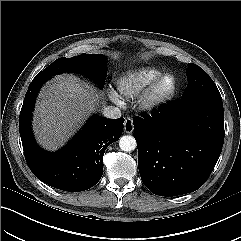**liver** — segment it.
Wrapping results in <instances>:
<instances>
[{"label": "liver", "mask_w": 241, "mask_h": 241, "mask_svg": "<svg viewBox=\"0 0 241 241\" xmlns=\"http://www.w3.org/2000/svg\"><path fill=\"white\" fill-rule=\"evenodd\" d=\"M103 93L70 75H59L41 90L35 107L33 129L48 150L62 146L96 111Z\"/></svg>", "instance_id": "6515ba94"}]
</instances>
